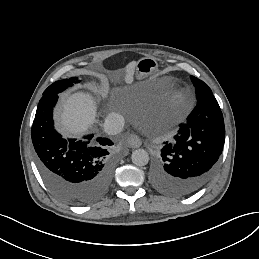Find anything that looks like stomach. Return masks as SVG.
<instances>
[{
	"label": "stomach",
	"mask_w": 259,
	"mask_h": 259,
	"mask_svg": "<svg viewBox=\"0 0 259 259\" xmlns=\"http://www.w3.org/2000/svg\"><path fill=\"white\" fill-rule=\"evenodd\" d=\"M157 69V62L152 57L140 59L136 64V71L140 76L152 74Z\"/></svg>",
	"instance_id": "1"
}]
</instances>
